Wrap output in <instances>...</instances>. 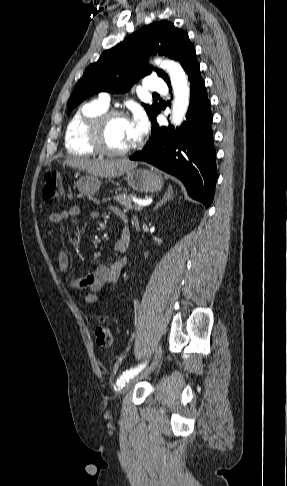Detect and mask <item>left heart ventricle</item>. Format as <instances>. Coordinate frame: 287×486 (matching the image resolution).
<instances>
[{"instance_id": "1", "label": "left heart ventricle", "mask_w": 287, "mask_h": 486, "mask_svg": "<svg viewBox=\"0 0 287 486\" xmlns=\"http://www.w3.org/2000/svg\"><path fill=\"white\" fill-rule=\"evenodd\" d=\"M107 145L116 150L131 146L132 138L130 121L128 119H115L110 123L105 134Z\"/></svg>"}]
</instances>
